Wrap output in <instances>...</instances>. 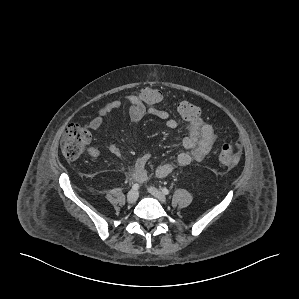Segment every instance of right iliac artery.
<instances>
[{
  "mask_svg": "<svg viewBox=\"0 0 299 299\" xmlns=\"http://www.w3.org/2000/svg\"><path fill=\"white\" fill-rule=\"evenodd\" d=\"M139 184L138 183H135L133 186H132V189L133 190H138L139 189Z\"/></svg>",
  "mask_w": 299,
  "mask_h": 299,
  "instance_id": "right-iliac-artery-1",
  "label": "right iliac artery"
}]
</instances>
